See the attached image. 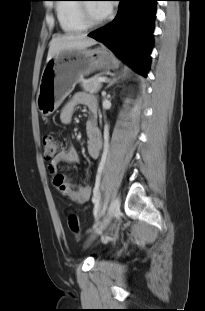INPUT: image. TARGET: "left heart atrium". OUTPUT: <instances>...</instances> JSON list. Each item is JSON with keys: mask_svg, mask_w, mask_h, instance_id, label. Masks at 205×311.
I'll use <instances>...</instances> for the list:
<instances>
[{"mask_svg": "<svg viewBox=\"0 0 205 311\" xmlns=\"http://www.w3.org/2000/svg\"><path fill=\"white\" fill-rule=\"evenodd\" d=\"M100 2H112V1H100ZM98 7L104 16H107L113 9V5L108 3H99Z\"/></svg>", "mask_w": 205, "mask_h": 311, "instance_id": "1", "label": "left heart atrium"}]
</instances>
